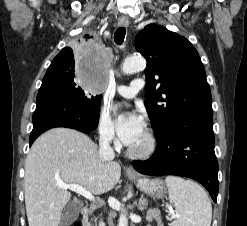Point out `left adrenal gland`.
<instances>
[{
    "label": "left adrenal gland",
    "mask_w": 247,
    "mask_h": 226,
    "mask_svg": "<svg viewBox=\"0 0 247 226\" xmlns=\"http://www.w3.org/2000/svg\"><path fill=\"white\" fill-rule=\"evenodd\" d=\"M147 206H148L147 199H145L144 196L141 195L137 204V208L140 211H144L147 208Z\"/></svg>",
    "instance_id": "a2214340"
}]
</instances>
